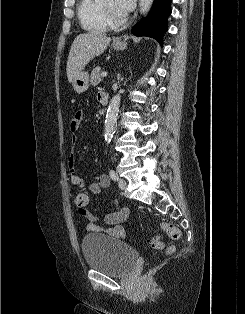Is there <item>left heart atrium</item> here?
Masks as SVG:
<instances>
[{"label":"left heart atrium","instance_id":"obj_1","mask_svg":"<svg viewBox=\"0 0 245 314\" xmlns=\"http://www.w3.org/2000/svg\"><path fill=\"white\" fill-rule=\"evenodd\" d=\"M115 5L120 13L127 14L133 10L135 0H115Z\"/></svg>","mask_w":245,"mask_h":314}]
</instances>
